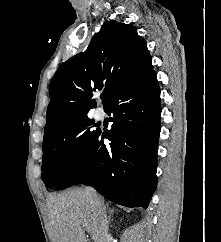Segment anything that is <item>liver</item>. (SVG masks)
Wrapping results in <instances>:
<instances>
[{"label":"liver","instance_id":"1","mask_svg":"<svg viewBox=\"0 0 221 242\" xmlns=\"http://www.w3.org/2000/svg\"><path fill=\"white\" fill-rule=\"evenodd\" d=\"M98 199L104 204L100 196ZM47 211L48 233L53 242H86L84 229L98 242V214L86 189L75 188L51 196Z\"/></svg>","mask_w":221,"mask_h":242}]
</instances>
